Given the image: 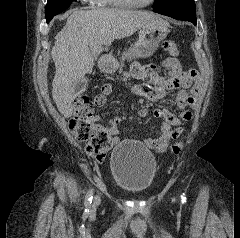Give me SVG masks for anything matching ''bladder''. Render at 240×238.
Masks as SVG:
<instances>
[{
	"mask_svg": "<svg viewBox=\"0 0 240 238\" xmlns=\"http://www.w3.org/2000/svg\"><path fill=\"white\" fill-rule=\"evenodd\" d=\"M157 163L153 153L143 144L127 140L116 145L110 157L114 184L131 194H142L153 184Z\"/></svg>",
	"mask_w": 240,
	"mask_h": 238,
	"instance_id": "1",
	"label": "bladder"
}]
</instances>
